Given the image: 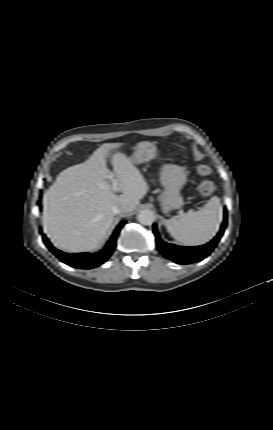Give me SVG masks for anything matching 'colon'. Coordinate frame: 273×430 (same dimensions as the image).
<instances>
[{
    "instance_id": "5ec220e1",
    "label": "colon",
    "mask_w": 273,
    "mask_h": 430,
    "mask_svg": "<svg viewBox=\"0 0 273 430\" xmlns=\"http://www.w3.org/2000/svg\"><path fill=\"white\" fill-rule=\"evenodd\" d=\"M211 172L210 168L207 165H199L197 167V173L200 176H207ZM200 194L204 196H210L215 191V184L210 180H201L197 186Z\"/></svg>"
}]
</instances>
